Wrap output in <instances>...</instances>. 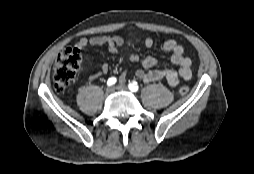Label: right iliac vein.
<instances>
[{"label":"right iliac vein","instance_id":"1","mask_svg":"<svg viewBox=\"0 0 254 174\" xmlns=\"http://www.w3.org/2000/svg\"><path fill=\"white\" fill-rule=\"evenodd\" d=\"M113 92H114V88L113 87H108L107 90H106L105 95L110 96Z\"/></svg>","mask_w":254,"mask_h":174}]
</instances>
